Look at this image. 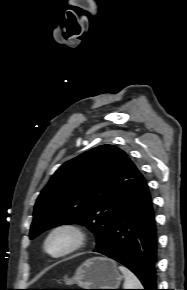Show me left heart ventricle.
I'll return each instance as SVG.
<instances>
[{
    "mask_svg": "<svg viewBox=\"0 0 187 290\" xmlns=\"http://www.w3.org/2000/svg\"><path fill=\"white\" fill-rule=\"evenodd\" d=\"M69 244V237L64 234L55 236L49 243V249L52 252H59Z\"/></svg>",
    "mask_w": 187,
    "mask_h": 290,
    "instance_id": "1",
    "label": "left heart ventricle"
}]
</instances>
